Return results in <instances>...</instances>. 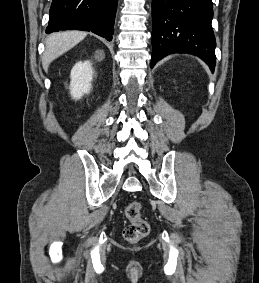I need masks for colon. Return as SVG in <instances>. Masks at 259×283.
Segmentation results:
<instances>
[{"label":"colon","mask_w":259,"mask_h":283,"mask_svg":"<svg viewBox=\"0 0 259 283\" xmlns=\"http://www.w3.org/2000/svg\"><path fill=\"white\" fill-rule=\"evenodd\" d=\"M128 225L123 230L124 238L130 243H136L144 238L150 230L148 222L142 216V205L138 201L129 203L125 209Z\"/></svg>","instance_id":"obj_1"}]
</instances>
